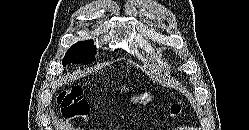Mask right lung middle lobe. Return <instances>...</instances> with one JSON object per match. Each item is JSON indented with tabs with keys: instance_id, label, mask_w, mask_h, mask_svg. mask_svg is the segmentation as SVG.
Masks as SVG:
<instances>
[{
	"instance_id": "1",
	"label": "right lung middle lobe",
	"mask_w": 249,
	"mask_h": 130,
	"mask_svg": "<svg viewBox=\"0 0 249 130\" xmlns=\"http://www.w3.org/2000/svg\"><path fill=\"white\" fill-rule=\"evenodd\" d=\"M96 48L92 40L78 42L72 45L62 60L63 66L70 63L88 64L95 60Z\"/></svg>"
}]
</instances>
